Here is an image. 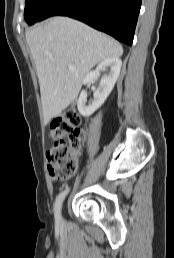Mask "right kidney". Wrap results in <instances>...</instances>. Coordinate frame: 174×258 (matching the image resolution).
<instances>
[{"label": "right kidney", "instance_id": "1", "mask_svg": "<svg viewBox=\"0 0 174 258\" xmlns=\"http://www.w3.org/2000/svg\"><path fill=\"white\" fill-rule=\"evenodd\" d=\"M122 62L119 57L108 58L98 64L96 69L86 75L84 78V84L93 82L99 75L100 71L109 69V74L102 77L99 88L93 93V100L86 105L87 93L82 91L80 93L77 107L79 113L84 117L92 115L107 99L109 94L114 88V85L120 74Z\"/></svg>", "mask_w": 174, "mask_h": 258}]
</instances>
